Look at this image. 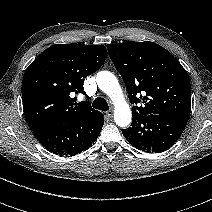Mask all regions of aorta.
Listing matches in <instances>:
<instances>
[{
  "label": "aorta",
  "instance_id": "aorta-1",
  "mask_svg": "<svg viewBox=\"0 0 212 212\" xmlns=\"http://www.w3.org/2000/svg\"><path fill=\"white\" fill-rule=\"evenodd\" d=\"M96 81L99 89L107 94L114 104L115 123L119 127H127L131 123L132 113L116 76L109 71H100Z\"/></svg>",
  "mask_w": 212,
  "mask_h": 212
}]
</instances>
